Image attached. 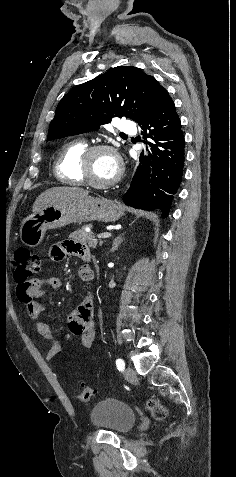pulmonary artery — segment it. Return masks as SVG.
<instances>
[{
    "instance_id": "1",
    "label": "pulmonary artery",
    "mask_w": 236,
    "mask_h": 477,
    "mask_svg": "<svg viewBox=\"0 0 236 477\" xmlns=\"http://www.w3.org/2000/svg\"><path fill=\"white\" fill-rule=\"evenodd\" d=\"M118 130L125 134H132L136 132V128L131 121L121 120L118 123Z\"/></svg>"
}]
</instances>
